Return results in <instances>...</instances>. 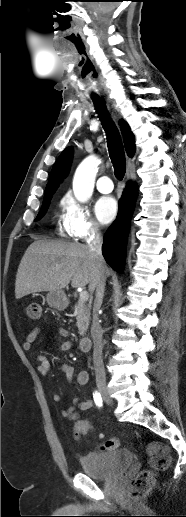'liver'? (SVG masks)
Here are the masks:
<instances>
[{"mask_svg": "<svg viewBox=\"0 0 186 517\" xmlns=\"http://www.w3.org/2000/svg\"><path fill=\"white\" fill-rule=\"evenodd\" d=\"M96 259L87 245L38 240L26 250L18 267L15 297L42 291L62 290L71 281L73 288L93 293L99 274ZM103 273L109 269L104 263Z\"/></svg>", "mask_w": 186, "mask_h": 517, "instance_id": "6515ba94", "label": "liver"}]
</instances>
